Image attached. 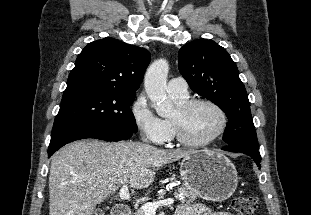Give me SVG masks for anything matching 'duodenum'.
<instances>
[{
    "instance_id": "410a0bca",
    "label": "duodenum",
    "mask_w": 311,
    "mask_h": 215,
    "mask_svg": "<svg viewBox=\"0 0 311 215\" xmlns=\"http://www.w3.org/2000/svg\"><path fill=\"white\" fill-rule=\"evenodd\" d=\"M112 215H131V210L125 205H116L113 208Z\"/></svg>"
}]
</instances>
